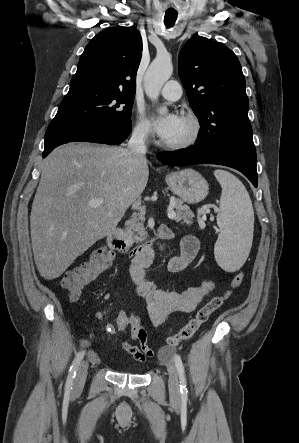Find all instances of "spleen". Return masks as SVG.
<instances>
[{"mask_svg":"<svg viewBox=\"0 0 299 443\" xmlns=\"http://www.w3.org/2000/svg\"><path fill=\"white\" fill-rule=\"evenodd\" d=\"M222 187L217 224L220 234L214 247L218 265L227 272L239 270L245 263L252 245L254 211L250 196L233 174L215 170Z\"/></svg>","mask_w":299,"mask_h":443,"instance_id":"1","label":"spleen"}]
</instances>
